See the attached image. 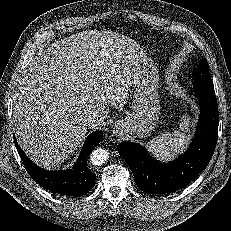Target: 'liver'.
Returning a JSON list of instances; mask_svg holds the SVG:
<instances>
[{
    "mask_svg": "<svg viewBox=\"0 0 231 231\" xmlns=\"http://www.w3.org/2000/svg\"><path fill=\"white\" fill-rule=\"evenodd\" d=\"M142 57L136 42L111 31H81L51 44L22 72L13 95L21 148L47 168L64 162L85 139L89 115L102 123L111 107L125 104Z\"/></svg>",
    "mask_w": 231,
    "mask_h": 231,
    "instance_id": "liver-1",
    "label": "liver"
}]
</instances>
